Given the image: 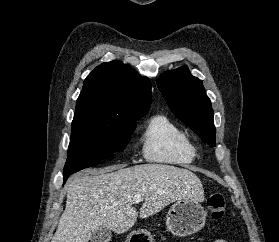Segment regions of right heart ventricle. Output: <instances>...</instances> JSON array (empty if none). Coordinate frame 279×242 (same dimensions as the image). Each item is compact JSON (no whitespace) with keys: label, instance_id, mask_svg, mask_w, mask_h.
I'll use <instances>...</instances> for the list:
<instances>
[{"label":"right heart ventricle","instance_id":"obj_1","mask_svg":"<svg viewBox=\"0 0 279 242\" xmlns=\"http://www.w3.org/2000/svg\"><path fill=\"white\" fill-rule=\"evenodd\" d=\"M140 141L143 157L148 162L183 166L196 158L186 133L163 114H156L147 121Z\"/></svg>","mask_w":279,"mask_h":242}]
</instances>
